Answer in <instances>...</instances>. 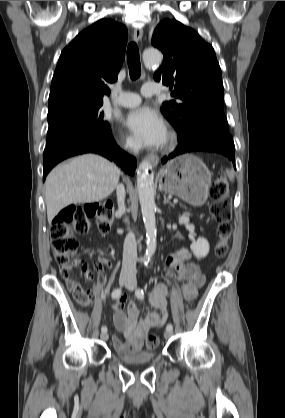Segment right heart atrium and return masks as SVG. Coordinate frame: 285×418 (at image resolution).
<instances>
[{
    "instance_id": "obj_1",
    "label": "right heart atrium",
    "mask_w": 285,
    "mask_h": 418,
    "mask_svg": "<svg viewBox=\"0 0 285 418\" xmlns=\"http://www.w3.org/2000/svg\"><path fill=\"white\" fill-rule=\"evenodd\" d=\"M118 144L126 152H133L135 149L134 144L122 134L118 138Z\"/></svg>"
}]
</instances>
